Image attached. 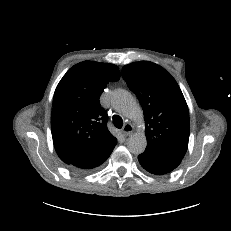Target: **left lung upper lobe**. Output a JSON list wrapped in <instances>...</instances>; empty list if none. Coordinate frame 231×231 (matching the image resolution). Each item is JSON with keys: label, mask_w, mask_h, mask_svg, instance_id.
<instances>
[{"label": "left lung upper lobe", "mask_w": 231, "mask_h": 231, "mask_svg": "<svg viewBox=\"0 0 231 231\" xmlns=\"http://www.w3.org/2000/svg\"><path fill=\"white\" fill-rule=\"evenodd\" d=\"M122 77L144 111L145 151L183 159L189 141V111L175 79L164 68L149 61L125 65Z\"/></svg>", "instance_id": "left-lung-upper-lobe-1"}]
</instances>
